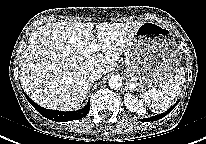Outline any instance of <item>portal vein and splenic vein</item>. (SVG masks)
<instances>
[{"label": "portal vein and splenic vein", "mask_w": 206, "mask_h": 144, "mask_svg": "<svg viewBox=\"0 0 206 144\" xmlns=\"http://www.w3.org/2000/svg\"><path fill=\"white\" fill-rule=\"evenodd\" d=\"M100 50V46L97 44H90L88 46V50L84 52V54H87V52H97Z\"/></svg>", "instance_id": "portal-vein-and-splenic-vein-1"}]
</instances>
